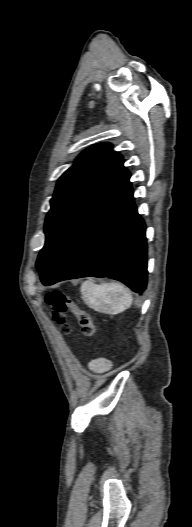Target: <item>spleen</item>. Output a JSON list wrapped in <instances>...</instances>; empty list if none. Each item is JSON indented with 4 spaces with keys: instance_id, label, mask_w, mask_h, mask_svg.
Masks as SVG:
<instances>
[{
    "instance_id": "obj_1",
    "label": "spleen",
    "mask_w": 192,
    "mask_h": 527,
    "mask_svg": "<svg viewBox=\"0 0 192 527\" xmlns=\"http://www.w3.org/2000/svg\"><path fill=\"white\" fill-rule=\"evenodd\" d=\"M81 294L89 307L110 314L125 311L133 302L129 289L119 283L98 285L91 280H86L81 285Z\"/></svg>"
}]
</instances>
